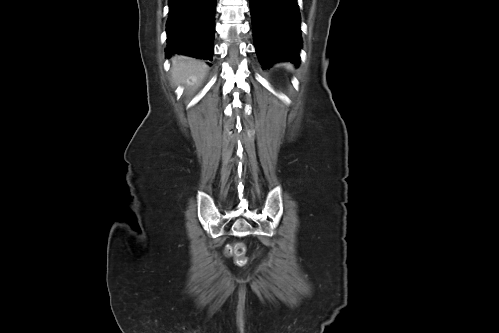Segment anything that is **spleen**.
Wrapping results in <instances>:
<instances>
[{"label":"spleen","mask_w":499,"mask_h":333,"mask_svg":"<svg viewBox=\"0 0 499 333\" xmlns=\"http://www.w3.org/2000/svg\"><path fill=\"white\" fill-rule=\"evenodd\" d=\"M287 68H288V69H291V68H292V66H291L290 64H288V65H287Z\"/></svg>","instance_id":"spleen-1"}]
</instances>
